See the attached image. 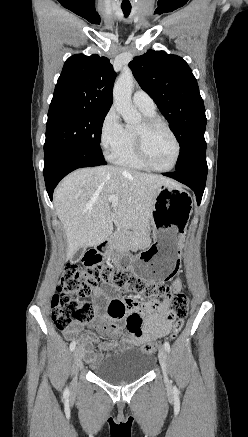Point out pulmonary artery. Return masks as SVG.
I'll list each match as a JSON object with an SVG mask.
<instances>
[{
	"label": "pulmonary artery",
	"mask_w": 248,
	"mask_h": 437,
	"mask_svg": "<svg viewBox=\"0 0 248 437\" xmlns=\"http://www.w3.org/2000/svg\"><path fill=\"white\" fill-rule=\"evenodd\" d=\"M134 105L145 112H155L156 105L153 99L143 90H137L132 97Z\"/></svg>",
	"instance_id": "obj_1"
}]
</instances>
